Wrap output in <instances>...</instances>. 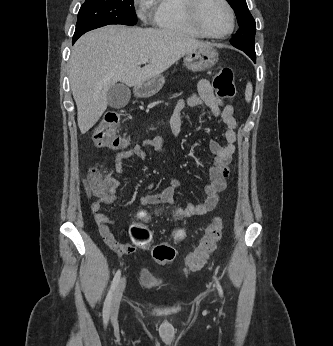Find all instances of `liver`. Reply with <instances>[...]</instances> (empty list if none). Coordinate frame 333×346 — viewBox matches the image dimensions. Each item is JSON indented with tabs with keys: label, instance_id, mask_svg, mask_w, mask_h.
I'll list each match as a JSON object with an SVG mask.
<instances>
[{
	"label": "liver",
	"instance_id": "6515ba94",
	"mask_svg": "<svg viewBox=\"0 0 333 346\" xmlns=\"http://www.w3.org/2000/svg\"><path fill=\"white\" fill-rule=\"evenodd\" d=\"M210 46L167 29L110 25L84 34L69 60V80L78 127L88 132L107 108V92L117 82L136 87L166 71L188 52ZM148 64L140 67V61Z\"/></svg>",
	"mask_w": 333,
	"mask_h": 346
}]
</instances>
